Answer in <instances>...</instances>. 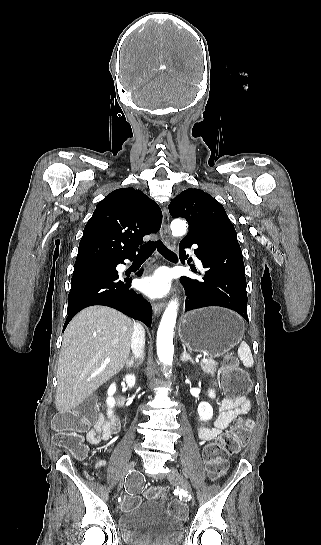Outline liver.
I'll use <instances>...</instances> for the list:
<instances>
[{
    "instance_id": "obj_1",
    "label": "liver",
    "mask_w": 321,
    "mask_h": 545,
    "mask_svg": "<svg viewBox=\"0 0 321 545\" xmlns=\"http://www.w3.org/2000/svg\"><path fill=\"white\" fill-rule=\"evenodd\" d=\"M133 331V321L109 307H88L70 321L57 367L59 413H71L123 369Z\"/></svg>"
}]
</instances>
